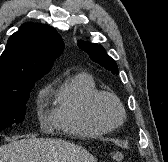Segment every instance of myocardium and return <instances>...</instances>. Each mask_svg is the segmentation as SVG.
Wrapping results in <instances>:
<instances>
[{
	"mask_svg": "<svg viewBox=\"0 0 168 162\" xmlns=\"http://www.w3.org/2000/svg\"><path fill=\"white\" fill-rule=\"evenodd\" d=\"M104 98L110 99L111 101H113L118 108L119 119L114 124H109L108 122H106L99 113V108H98L99 102ZM88 112L91 118L97 124H99L101 127H103L108 131L119 128L125 120V109L121 100L114 93L109 91H97L96 93H94L88 102Z\"/></svg>",
	"mask_w": 168,
	"mask_h": 162,
	"instance_id": "myocardium-1",
	"label": "myocardium"
}]
</instances>
